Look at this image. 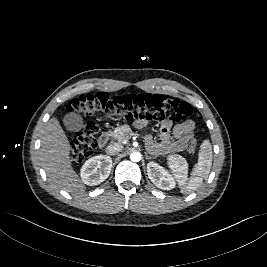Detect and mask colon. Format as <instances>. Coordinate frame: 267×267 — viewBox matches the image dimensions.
Instances as JSON below:
<instances>
[{
	"label": "colon",
	"instance_id": "colon-1",
	"mask_svg": "<svg viewBox=\"0 0 267 267\" xmlns=\"http://www.w3.org/2000/svg\"><path fill=\"white\" fill-rule=\"evenodd\" d=\"M67 110L87 117L105 116L127 121H181L192 114L189 103L151 93L115 97H110L103 92L81 95L68 104ZM97 133L98 126L93 121H88L83 129L76 133L71 144L73 161H82L92 153L96 146ZM186 148L189 154H195L197 140L194 134L188 136Z\"/></svg>",
	"mask_w": 267,
	"mask_h": 267
}]
</instances>
